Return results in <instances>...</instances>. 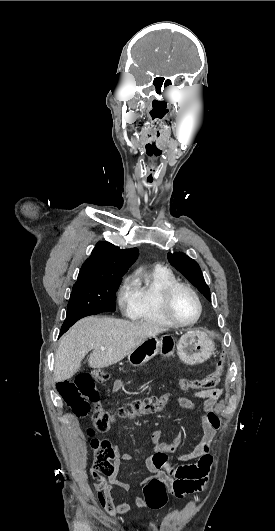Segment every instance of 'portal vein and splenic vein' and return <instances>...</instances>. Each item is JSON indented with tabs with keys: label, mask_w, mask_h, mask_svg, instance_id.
<instances>
[{
	"label": "portal vein and splenic vein",
	"mask_w": 275,
	"mask_h": 531,
	"mask_svg": "<svg viewBox=\"0 0 275 531\" xmlns=\"http://www.w3.org/2000/svg\"><path fill=\"white\" fill-rule=\"evenodd\" d=\"M101 351H105V347H100Z\"/></svg>",
	"instance_id": "1"
}]
</instances>
